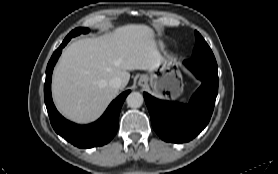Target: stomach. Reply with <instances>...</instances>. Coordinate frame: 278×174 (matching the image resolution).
<instances>
[{"instance_id": "stomach-1", "label": "stomach", "mask_w": 278, "mask_h": 174, "mask_svg": "<svg viewBox=\"0 0 278 174\" xmlns=\"http://www.w3.org/2000/svg\"><path fill=\"white\" fill-rule=\"evenodd\" d=\"M160 74L152 72L144 77L149 81L153 92L162 97L175 99L183 92L182 75L179 70H175L171 62L164 61L155 70Z\"/></svg>"}]
</instances>
